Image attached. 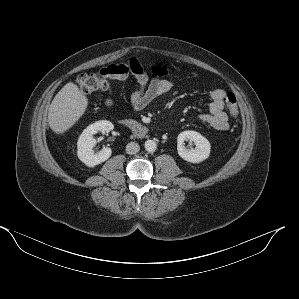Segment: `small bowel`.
I'll return each mask as SVG.
<instances>
[{
    "mask_svg": "<svg viewBox=\"0 0 299 299\" xmlns=\"http://www.w3.org/2000/svg\"><path fill=\"white\" fill-rule=\"evenodd\" d=\"M124 73L119 76L120 80H125L129 75H133L138 82V88L130 97V105L135 110H141L150 105L156 98L167 93L172 83L165 77L169 75V70L161 65H155L151 73L153 78L145 71L137 59H131L126 64H119ZM226 92L216 88L210 92L209 113L202 114L200 120L208 124L212 129L222 132L228 129V117L224 112ZM107 106L112 105L111 100H106Z\"/></svg>",
    "mask_w": 299,
    "mask_h": 299,
    "instance_id": "c3829d8e",
    "label": "small bowel"
}]
</instances>
